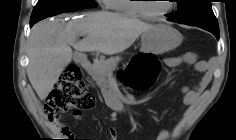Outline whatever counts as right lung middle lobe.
I'll return each instance as SVG.
<instances>
[{"mask_svg": "<svg viewBox=\"0 0 236 140\" xmlns=\"http://www.w3.org/2000/svg\"><path fill=\"white\" fill-rule=\"evenodd\" d=\"M94 7H97L94 0H39L33 9L30 22L36 23L50 16Z\"/></svg>", "mask_w": 236, "mask_h": 140, "instance_id": "dd1d6c3e", "label": "right lung middle lobe"}]
</instances>
